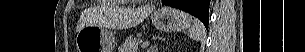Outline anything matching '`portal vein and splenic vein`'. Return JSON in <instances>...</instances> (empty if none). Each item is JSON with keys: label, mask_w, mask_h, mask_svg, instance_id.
Returning <instances> with one entry per match:
<instances>
[{"label": "portal vein and splenic vein", "mask_w": 305, "mask_h": 52, "mask_svg": "<svg viewBox=\"0 0 305 52\" xmlns=\"http://www.w3.org/2000/svg\"><path fill=\"white\" fill-rule=\"evenodd\" d=\"M149 44H150L149 41H145V42L143 43V47H147V46H149Z\"/></svg>", "instance_id": "obj_1"}]
</instances>
